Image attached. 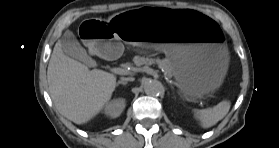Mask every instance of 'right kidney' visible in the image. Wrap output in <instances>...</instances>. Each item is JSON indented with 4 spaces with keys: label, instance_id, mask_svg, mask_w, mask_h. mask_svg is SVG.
<instances>
[{
    "label": "right kidney",
    "instance_id": "right-kidney-1",
    "mask_svg": "<svg viewBox=\"0 0 279 148\" xmlns=\"http://www.w3.org/2000/svg\"><path fill=\"white\" fill-rule=\"evenodd\" d=\"M125 108V100L122 98L114 99L109 104L106 105L104 113L111 117L117 118L121 115Z\"/></svg>",
    "mask_w": 279,
    "mask_h": 148
}]
</instances>
